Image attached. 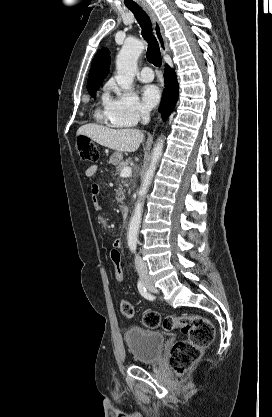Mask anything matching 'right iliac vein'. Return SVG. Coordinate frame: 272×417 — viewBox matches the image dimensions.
Instances as JSON below:
<instances>
[{"label":"right iliac vein","mask_w":272,"mask_h":417,"mask_svg":"<svg viewBox=\"0 0 272 417\" xmlns=\"http://www.w3.org/2000/svg\"><path fill=\"white\" fill-rule=\"evenodd\" d=\"M142 281L148 288H150L153 291L155 290L154 287H153V284L151 283V281L149 279L143 277Z\"/></svg>","instance_id":"63e3f726"}]
</instances>
